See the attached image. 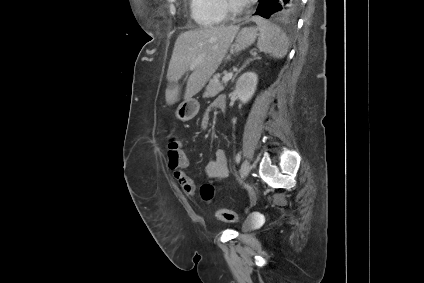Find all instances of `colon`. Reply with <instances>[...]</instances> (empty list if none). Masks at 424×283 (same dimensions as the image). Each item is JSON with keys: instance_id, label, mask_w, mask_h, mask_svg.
<instances>
[{"instance_id": "colon-1", "label": "colon", "mask_w": 424, "mask_h": 283, "mask_svg": "<svg viewBox=\"0 0 424 283\" xmlns=\"http://www.w3.org/2000/svg\"><path fill=\"white\" fill-rule=\"evenodd\" d=\"M180 149L177 139L174 136H169L167 155L170 166L177 167L184 162ZM213 194L214 186L211 183H205L201 186V195L204 199H211ZM217 217L224 222H235L237 220V216L233 211L223 208L217 211Z\"/></svg>"}]
</instances>
